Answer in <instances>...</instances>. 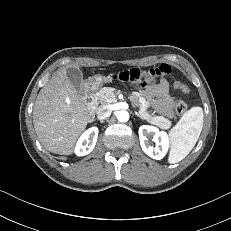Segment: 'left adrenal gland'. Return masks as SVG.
<instances>
[{
  "instance_id": "left-adrenal-gland-1",
  "label": "left adrenal gland",
  "mask_w": 231,
  "mask_h": 231,
  "mask_svg": "<svg viewBox=\"0 0 231 231\" xmlns=\"http://www.w3.org/2000/svg\"><path fill=\"white\" fill-rule=\"evenodd\" d=\"M135 115H136L137 117L143 119V117H142L138 112H136V111H135ZM143 120H144V119H143Z\"/></svg>"
}]
</instances>
